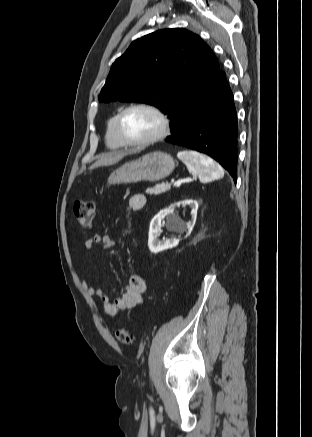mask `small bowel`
Listing matches in <instances>:
<instances>
[{
	"mask_svg": "<svg viewBox=\"0 0 312 437\" xmlns=\"http://www.w3.org/2000/svg\"><path fill=\"white\" fill-rule=\"evenodd\" d=\"M145 204L146 197L142 194L134 195L129 200L130 209L133 211L141 210ZM95 244H100L106 250L113 248L116 245V241L110 235L96 234L94 237L86 240L85 247L89 251ZM83 285L87 293L96 297L101 303L104 312L110 316H116L121 311L130 310L140 305L143 301V294L146 291L145 280L138 275H133L129 278L124 292L115 300H112L103 289L93 286L86 279H84Z\"/></svg>",
	"mask_w": 312,
	"mask_h": 437,
	"instance_id": "c3829d8e",
	"label": "small bowel"
}]
</instances>
